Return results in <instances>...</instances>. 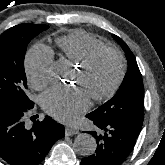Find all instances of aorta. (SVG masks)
Masks as SVG:
<instances>
[{
  "label": "aorta",
  "mask_w": 165,
  "mask_h": 165,
  "mask_svg": "<svg viewBox=\"0 0 165 165\" xmlns=\"http://www.w3.org/2000/svg\"><path fill=\"white\" fill-rule=\"evenodd\" d=\"M63 72V68L61 65L57 64L52 67L51 75L54 79H60ZM74 147L77 153L83 156L92 155L96 148V140L95 138L87 133L78 134L74 140Z\"/></svg>",
  "instance_id": "1"
}]
</instances>
